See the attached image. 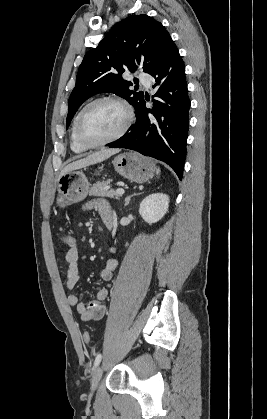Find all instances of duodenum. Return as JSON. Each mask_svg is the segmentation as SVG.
<instances>
[{
    "instance_id": "1",
    "label": "duodenum",
    "mask_w": 267,
    "mask_h": 419,
    "mask_svg": "<svg viewBox=\"0 0 267 419\" xmlns=\"http://www.w3.org/2000/svg\"><path fill=\"white\" fill-rule=\"evenodd\" d=\"M104 224H105V226H106V228H107V229H111V228H112V226H113V222H112V220H106V221L104 222Z\"/></svg>"
}]
</instances>
